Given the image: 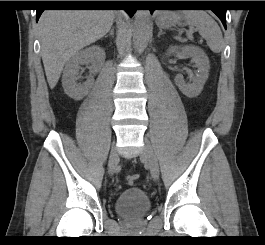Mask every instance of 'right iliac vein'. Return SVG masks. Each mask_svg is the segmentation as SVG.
<instances>
[{"label":"right iliac vein","instance_id":"right-iliac-vein-1","mask_svg":"<svg viewBox=\"0 0 265 245\" xmlns=\"http://www.w3.org/2000/svg\"><path fill=\"white\" fill-rule=\"evenodd\" d=\"M117 162H118V153H117L116 147L113 146L111 149L110 156H109V164H108L110 173H113L115 171Z\"/></svg>","mask_w":265,"mask_h":245}]
</instances>
